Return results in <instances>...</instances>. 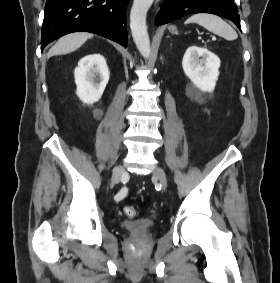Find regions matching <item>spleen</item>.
I'll return each instance as SVG.
<instances>
[{
    "mask_svg": "<svg viewBox=\"0 0 280 283\" xmlns=\"http://www.w3.org/2000/svg\"><path fill=\"white\" fill-rule=\"evenodd\" d=\"M190 23H196L229 41L235 40L238 37L236 31L216 15L206 13L195 14L185 21V24Z\"/></svg>",
    "mask_w": 280,
    "mask_h": 283,
    "instance_id": "spleen-1",
    "label": "spleen"
}]
</instances>
